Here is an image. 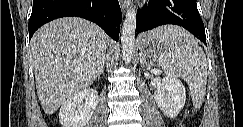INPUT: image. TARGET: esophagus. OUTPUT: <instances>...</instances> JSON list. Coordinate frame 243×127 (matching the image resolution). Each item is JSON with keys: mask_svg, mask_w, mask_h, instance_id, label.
I'll return each instance as SVG.
<instances>
[{"mask_svg": "<svg viewBox=\"0 0 243 127\" xmlns=\"http://www.w3.org/2000/svg\"><path fill=\"white\" fill-rule=\"evenodd\" d=\"M131 1L130 0H120V6L123 12L129 7Z\"/></svg>", "mask_w": 243, "mask_h": 127, "instance_id": "1", "label": "esophagus"}]
</instances>
